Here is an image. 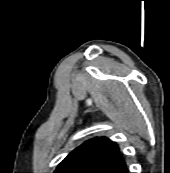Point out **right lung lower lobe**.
Returning <instances> with one entry per match:
<instances>
[{
	"instance_id": "right-lung-lower-lobe-1",
	"label": "right lung lower lobe",
	"mask_w": 170,
	"mask_h": 173,
	"mask_svg": "<svg viewBox=\"0 0 170 173\" xmlns=\"http://www.w3.org/2000/svg\"><path fill=\"white\" fill-rule=\"evenodd\" d=\"M105 173H128V169L126 163L124 162L116 167L109 169Z\"/></svg>"
}]
</instances>
